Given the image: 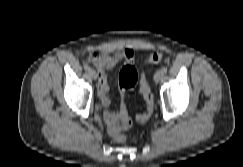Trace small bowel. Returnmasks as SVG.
<instances>
[{
    "label": "small bowel",
    "mask_w": 243,
    "mask_h": 167,
    "mask_svg": "<svg viewBox=\"0 0 243 167\" xmlns=\"http://www.w3.org/2000/svg\"><path fill=\"white\" fill-rule=\"evenodd\" d=\"M90 62L96 67L98 71V84L97 91L103 106V116L108 127L117 122L120 113L125 110L126 107L124 101L121 100L119 106V113H115L110 110L111 95L107 82L106 70L114 68L119 62L124 61L126 64H133L135 61V54L131 49H122L114 53L99 52L93 53L90 58Z\"/></svg>",
    "instance_id": "c3829d8e"
}]
</instances>
